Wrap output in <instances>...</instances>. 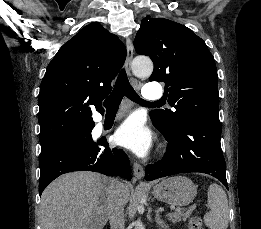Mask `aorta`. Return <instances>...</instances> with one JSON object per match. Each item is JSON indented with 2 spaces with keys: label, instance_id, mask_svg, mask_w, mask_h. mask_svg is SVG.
I'll return each instance as SVG.
<instances>
[{
  "label": "aorta",
  "instance_id": "aorta-1",
  "mask_svg": "<svg viewBox=\"0 0 261 229\" xmlns=\"http://www.w3.org/2000/svg\"><path fill=\"white\" fill-rule=\"evenodd\" d=\"M132 72L139 78H148L153 72V62L149 56H135L131 64ZM135 229H145L142 221H135Z\"/></svg>",
  "mask_w": 261,
  "mask_h": 229
}]
</instances>
